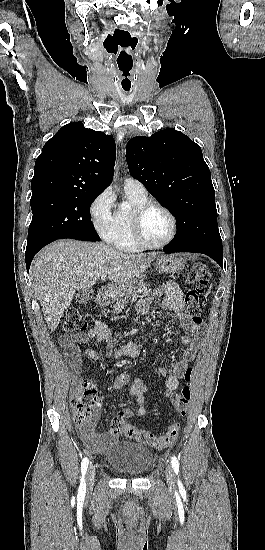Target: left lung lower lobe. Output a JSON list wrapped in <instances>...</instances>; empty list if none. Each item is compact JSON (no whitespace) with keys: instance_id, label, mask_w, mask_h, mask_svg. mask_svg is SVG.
<instances>
[{"instance_id":"1","label":"left lung lower lobe","mask_w":265,"mask_h":550,"mask_svg":"<svg viewBox=\"0 0 265 550\" xmlns=\"http://www.w3.org/2000/svg\"><path fill=\"white\" fill-rule=\"evenodd\" d=\"M163 251L166 253V254H171V253H175V252H197V253H203V254H206L208 255L209 257H211L212 259H214L222 268H223V255H220V254H217V253H214V252H210V251H206V250H190V249H184V248H180V247H177L173 244H170V245H167L163 248Z\"/></svg>"}]
</instances>
